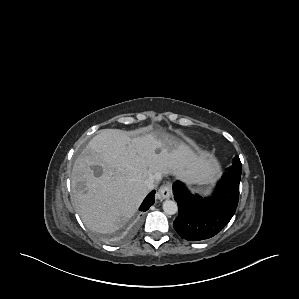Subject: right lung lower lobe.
Instances as JSON below:
<instances>
[{"instance_id":"1","label":"right lung lower lobe","mask_w":299,"mask_h":299,"mask_svg":"<svg viewBox=\"0 0 299 299\" xmlns=\"http://www.w3.org/2000/svg\"><path fill=\"white\" fill-rule=\"evenodd\" d=\"M154 197H155V190H153L147 195V197L144 199L143 203L141 204L140 210L141 211L148 210L149 207L154 204Z\"/></svg>"}]
</instances>
